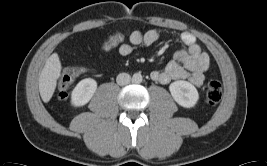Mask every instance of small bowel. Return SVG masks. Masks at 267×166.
Listing matches in <instances>:
<instances>
[{"label":"small bowel","instance_id":"small-bowel-1","mask_svg":"<svg viewBox=\"0 0 267 166\" xmlns=\"http://www.w3.org/2000/svg\"><path fill=\"white\" fill-rule=\"evenodd\" d=\"M159 37L156 30H148L145 33L134 31L129 35V40L118 47V52L122 56H128L140 45L154 44ZM180 42L182 45L175 51L173 60L164 69L153 71L151 79L162 84H168L174 80H188L199 87L204 83L205 73L209 67V57L201 50L193 34L182 33ZM83 71L81 68H71L67 72H73L77 77Z\"/></svg>","mask_w":267,"mask_h":166}]
</instances>
